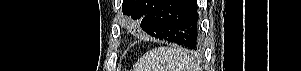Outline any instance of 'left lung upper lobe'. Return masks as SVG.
I'll use <instances>...</instances> for the list:
<instances>
[{
    "mask_svg": "<svg viewBox=\"0 0 301 71\" xmlns=\"http://www.w3.org/2000/svg\"><path fill=\"white\" fill-rule=\"evenodd\" d=\"M158 0H124L122 4L123 14L132 19H143Z\"/></svg>",
    "mask_w": 301,
    "mask_h": 71,
    "instance_id": "left-lung-upper-lobe-1",
    "label": "left lung upper lobe"
}]
</instances>
